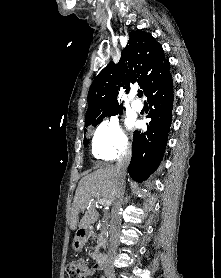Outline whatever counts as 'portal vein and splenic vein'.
<instances>
[{"label": "portal vein and splenic vein", "mask_w": 221, "mask_h": 278, "mask_svg": "<svg viewBox=\"0 0 221 278\" xmlns=\"http://www.w3.org/2000/svg\"><path fill=\"white\" fill-rule=\"evenodd\" d=\"M97 203H100L101 205L105 207H109L111 205V201L108 199H98Z\"/></svg>", "instance_id": "portal-vein-and-splenic-vein-1"}]
</instances>
